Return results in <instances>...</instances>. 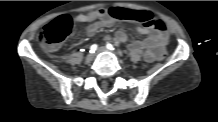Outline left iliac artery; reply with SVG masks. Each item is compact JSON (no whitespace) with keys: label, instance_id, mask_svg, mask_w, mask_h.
<instances>
[{"label":"left iliac artery","instance_id":"obj_1","mask_svg":"<svg viewBox=\"0 0 218 122\" xmlns=\"http://www.w3.org/2000/svg\"><path fill=\"white\" fill-rule=\"evenodd\" d=\"M106 46L109 50H114V47L112 44L108 43Z\"/></svg>","mask_w":218,"mask_h":122}]
</instances>
